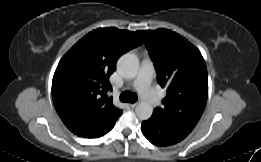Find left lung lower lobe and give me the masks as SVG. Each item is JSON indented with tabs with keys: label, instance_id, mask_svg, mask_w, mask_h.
Listing matches in <instances>:
<instances>
[{
	"label": "left lung lower lobe",
	"instance_id": "left-lung-lower-lobe-1",
	"mask_svg": "<svg viewBox=\"0 0 261 162\" xmlns=\"http://www.w3.org/2000/svg\"><path fill=\"white\" fill-rule=\"evenodd\" d=\"M144 136L157 146H168L182 141L191 131L173 123L164 121L156 115L142 122Z\"/></svg>",
	"mask_w": 261,
	"mask_h": 162
}]
</instances>
